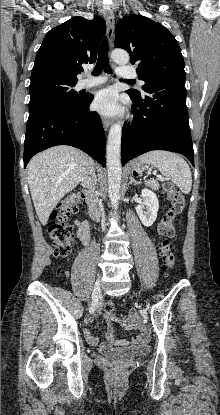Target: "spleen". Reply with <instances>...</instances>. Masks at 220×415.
Segmentation results:
<instances>
[{
  "label": "spleen",
  "mask_w": 220,
  "mask_h": 415,
  "mask_svg": "<svg viewBox=\"0 0 220 415\" xmlns=\"http://www.w3.org/2000/svg\"><path fill=\"white\" fill-rule=\"evenodd\" d=\"M141 163L151 164L169 178L183 193L192 188L191 170L186 161L169 151H151L138 158Z\"/></svg>",
  "instance_id": "3e777b00"
}]
</instances>
